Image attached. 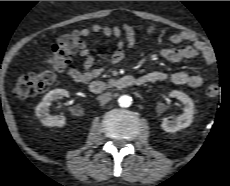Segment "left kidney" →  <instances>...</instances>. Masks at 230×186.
<instances>
[{"label": "left kidney", "instance_id": "left-kidney-1", "mask_svg": "<svg viewBox=\"0 0 230 186\" xmlns=\"http://www.w3.org/2000/svg\"><path fill=\"white\" fill-rule=\"evenodd\" d=\"M169 96L180 100L184 104V112L181 116L168 120L164 118L161 127L164 131L168 133H175L182 128L189 127L193 121L195 108L192 99L183 92L172 91Z\"/></svg>", "mask_w": 230, "mask_h": 186}]
</instances>
